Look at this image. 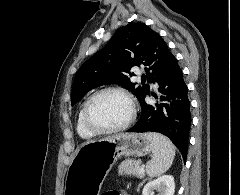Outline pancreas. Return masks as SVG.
Segmentation results:
<instances>
[{
    "label": "pancreas",
    "instance_id": "cf45deb5",
    "mask_svg": "<svg viewBox=\"0 0 240 195\" xmlns=\"http://www.w3.org/2000/svg\"><path fill=\"white\" fill-rule=\"evenodd\" d=\"M140 159H124L121 161L120 165H118V173L119 175H137V177H144L145 173H139L140 167Z\"/></svg>",
    "mask_w": 240,
    "mask_h": 195
}]
</instances>
